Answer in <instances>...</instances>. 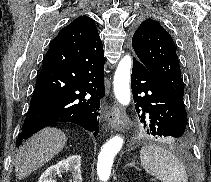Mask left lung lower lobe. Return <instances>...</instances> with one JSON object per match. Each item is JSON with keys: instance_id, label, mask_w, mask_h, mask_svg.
<instances>
[{"instance_id": "1", "label": "left lung lower lobe", "mask_w": 211, "mask_h": 182, "mask_svg": "<svg viewBox=\"0 0 211 182\" xmlns=\"http://www.w3.org/2000/svg\"><path fill=\"white\" fill-rule=\"evenodd\" d=\"M131 87L136 111L141 114L147 134L182 140L187 125L183 100L166 89L135 57Z\"/></svg>"}]
</instances>
